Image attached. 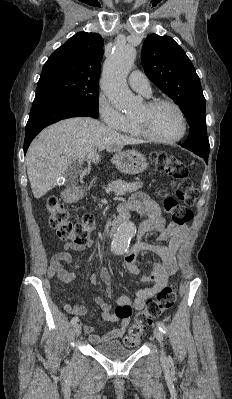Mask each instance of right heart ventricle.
Returning a JSON list of instances; mask_svg holds the SVG:
<instances>
[{
	"label": "right heart ventricle",
	"mask_w": 232,
	"mask_h": 399,
	"mask_svg": "<svg viewBox=\"0 0 232 399\" xmlns=\"http://www.w3.org/2000/svg\"><path fill=\"white\" fill-rule=\"evenodd\" d=\"M119 131L127 137L133 138L135 140H142L143 138L138 133L135 124L132 119H127L126 123L123 125Z\"/></svg>",
	"instance_id": "right-heart-ventricle-1"
}]
</instances>
